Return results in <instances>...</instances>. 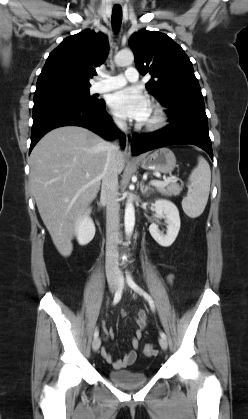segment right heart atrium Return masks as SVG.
<instances>
[{"instance_id":"right-heart-atrium-1","label":"right heart atrium","mask_w":248,"mask_h":419,"mask_svg":"<svg viewBox=\"0 0 248 419\" xmlns=\"http://www.w3.org/2000/svg\"><path fill=\"white\" fill-rule=\"evenodd\" d=\"M113 122L118 126V127H123L124 126V122L120 119V118H118V117H116V116H114L113 117Z\"/></svg>"}]
</instances>
